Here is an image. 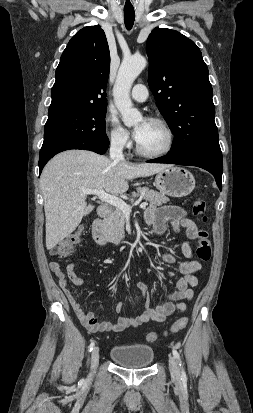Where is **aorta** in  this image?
I'll return each instance as SVG.
<instances>
[{
    "label": "aorta",
    "instance_id": "762f6f07",
    "mask_svg": "<svg viewBox=\"0 0 253 413\" xmlns=\"http://www.w3.org/2000/svg\"><path fill=\"white\" fill-rule=\"evenodd\" d=\"M146 64V59L140 55L125 58L120 65L113 88L115 105L122 116L123 123L129 127L142 119L141 113L132 105L130 90Z\"/></svg>",
    "mask_w": 253,
    "mask_h": 413
}]
</instances>
